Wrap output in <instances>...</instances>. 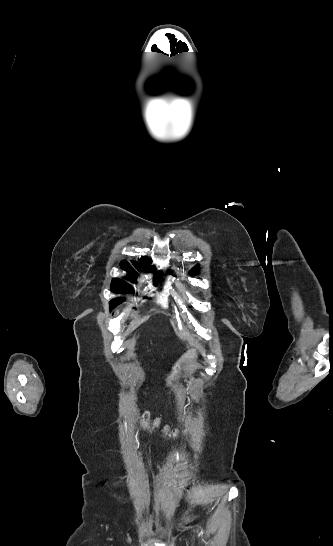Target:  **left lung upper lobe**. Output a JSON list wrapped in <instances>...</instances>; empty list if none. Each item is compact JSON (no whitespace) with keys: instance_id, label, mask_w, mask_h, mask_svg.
<instances>
[{"instance_id":"left-lung-upper-lobe-1","label":"left lung upper lobe","mask_w":333,"mask_h":546,"mask_svg":"<svg viewBox=\"0 0 333 546\" xmlns=\"http://www.w3.org/2000/svg\"><path fill=\"white\" fill-rule=\"evenodd\" d=\"M199 273V265L194 266L190 271L189 274L191 275H197Z\"/></svg>"}]
</instances>
